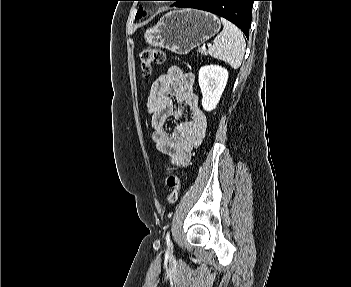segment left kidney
<instances>
[{"label":"left kidney","instance_id":"1","mask_svg":"<svg viewBox=\"0 0 351 287\" xmlns=\"http://www.w3.org/2000/svg\"><path fill=\"white\" fill-rule=\"evenodd\" d=\"M228 80L227 69L219 65L200 68L198 82L202 93V107L206 111L216 108Z\"/></svg>","mask_w":351,"mask_h":287}]
</instances>
